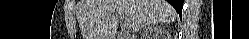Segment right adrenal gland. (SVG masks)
Masks as SVG:
<instances>
[{
	"instance_id": "2a0ac1e0",
	"label": "right adrenal gland",
	"mask_w": 249,
	"mask_h": 39,
	"mask_svg": "<svg viewBox=\"0 0 249 39\" xmlns=\"http://www.w3.org/2000/svg\"><path fill=\"white\" fill-rule=\"evenodd\" d=\"M153 24H154V23H152V24H147L148 28H146V25H145L146 30H145V33H143V36H145V34H147L148 30H151V29H152ZM138 31H139V30H137L136 32H138Z\"/></svg>"
}]
</instances>
